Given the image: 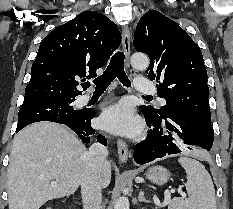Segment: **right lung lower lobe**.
I'll list each match as a JSON object with an SVG mask.
<instances>
[{
    "label": "right lung lower lobe",
    "instance_id": "98d812e1",
    "mask_svg": "<svg viewBox=\"0 0 233 209\" xmlns=\"http://www.w3.org/2000/svg\"><path fill=\"white\" fill-rule=\"evenodd\" d=\"M94 115L95 113L93 110H84L83 114L76 120L64 122L62 124L67 125L71 130H73L84 143H89V136L95 134L94 129L91 127V119ZM24 127L25 126H17L16 132H19ZM97 141L103 145H107L106 138L101 134L97 135Z\"/></svg>",
    "mask_w": 233,
    "mask_h": 209
}]
</instances>
